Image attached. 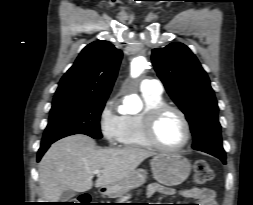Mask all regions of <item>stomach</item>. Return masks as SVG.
<instances>
[{"label":"stomach","mask_w":253,"mask_h":205,"mask_svg":"<svg viewBox=\"0 0 253 205\" xmlns=\"http://www.w3.org/2000/svg\"><path fill=\"white\" fill-rule=\"evenodd\" d=\"M154 178L162 185L177 186L184 182L191 171L189 160L177 153H160L151 160ZM146 181V172L136 169L119 182L105 186L103 194L119 197L127 191L139 187Z\"/></svg>","instance_id":"stomach-1"}]
</instances>
